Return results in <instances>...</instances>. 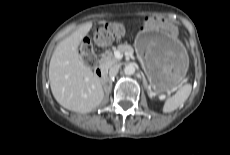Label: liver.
<instances>
[{"mask_svg":"<svg viewBox=\"0 0 230 155\" xmlns=\"http://www.w3.org/2000/svg\"><path fill=\"white\" fill-rule=\"evenodd\" d=\"M106 21H99L105 24ZM92 28V22L81 25L55 48L49 65L52 94L64 108L88 113L98 107L103 98L102 80L93 74L79 55L78 47Z\"/></svg>","mask_w":230,"mask_h":155,"instance_id":"liver-1","label":"liver"}]
</instances>
